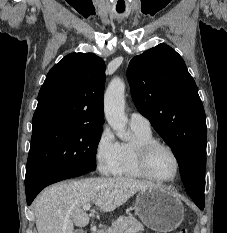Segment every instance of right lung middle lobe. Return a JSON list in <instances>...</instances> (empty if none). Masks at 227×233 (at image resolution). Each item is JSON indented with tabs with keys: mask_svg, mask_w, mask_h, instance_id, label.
Segmentation results:
<instances>
[{
	"mask_svg": "<svg viewBox=\"0 0 227 233\" xmlns=\"http://www.w3.org/2000/svg\"><path fill=\"white\" fill-rule=\"evenodd\" d=\"M101 131V125H73L32 133L25 183L53 171H94Z\"/></svg>",
	"mask_w": 227,
	"mask_h": 233,
	"instance_id": "right-lung-middle-lobe-1",
	"label": "right lung middle lobe"
}]
</instances>
